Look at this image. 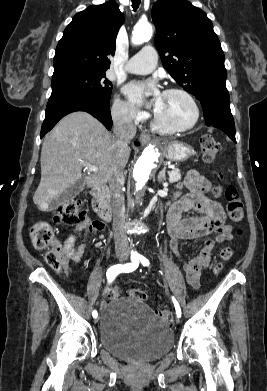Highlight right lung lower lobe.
Instances as JSON below:
<instances>
[{"label": "right lung lower lobe", "mask_w": 267, "mask_h": 391, "mask_svg": "<svg viewBox=\"0 0 267 391\" xmlns=\"http://www.w3.org/2000/svg\"><path fill=\"white\" fill-rule=\"evenodd\" d=\"M75 111H86L102 122L108 130L112 127V118L108 104L87 98L69 97L47 104L45 120L41 128V138L63 116ZM135 144L138 145V143Z\"/></svg>", "instance_id": "1"}]
</instances>
